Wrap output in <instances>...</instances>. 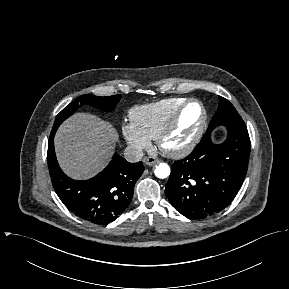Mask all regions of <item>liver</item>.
Returning a JSON list of instances; mask_svg holds the SVG:
<instances>
[{
  "label": "liver",
  "instance_id": "1",
  "mask_svg": "<svg viewBox=\"0 0 289 289\" xmlns=\"http://www.w3.org/2000/svg\"><path fill=\"white\" fill-rule=\"evenodd\" d=\"M117 140L118 134L108 122L92 114L76 113L56 132V156L67 175L87 179L105 168Z\"/></svg>",
  "mask_w": 289,
  "mask_h": 289
}]
</instances>
